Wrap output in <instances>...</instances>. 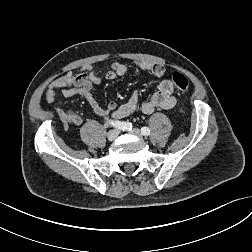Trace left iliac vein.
<instances>
[{"label": "left iliac vein", "instance_id": "4c4485c4", "mask_svg": "<svg viewBox=\"0 0 252 252\" xmlns=\"http://www.w3.org/2000/svg\"><path fill=\"white\" fill-rule=\"evenodd\" d=\"M130 133L138 137L142 135L139 129H133Z\"/></svg>", "mask_w": 252, "mask_h": 252}]
</instances>
